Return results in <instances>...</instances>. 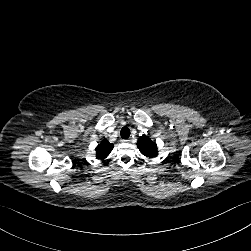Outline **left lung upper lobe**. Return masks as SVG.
Returning <instances> with one entry per match:
<instances>
[{
	"label": "left lung upper lobe",
	"mask_w": 251,
	"mask_h": 251,
	"mask_svg": "<svg viewBox=\"0 0 251 251\" xmlns=\"http://www.w3.org/2000/svg\"><path fill=\"white\" fill-rule=\"evenodd\" d=\"M137 147L145 157L154 158L158 154L156 143L146 135L139 137Z\"/></svg>",
	"instance_id": "left-lung-upper-lobe-1"
}]
</instances>
